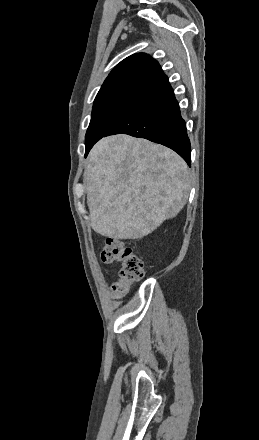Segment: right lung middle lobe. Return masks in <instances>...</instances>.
I'll return each mask as SVG.
<instances>
[{
  "instance_id": "dd1d6c3e",
  "label": "right lung middle lobe",
  "mask_w": 259,
  "mask_h": 440,
  "mask_svg": "<svg viewBox=\"0 0 259 440\" xmlns=\"http://www.w3.org/2000/svg\"><path fill=\"white\" fill-rule=\"evenodd\" d=\"M147 92H117L94 100L92 117L85 136V145L100 139L123 119Z\"/></svg>"
}]
</instances>
